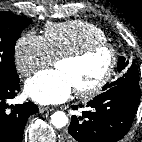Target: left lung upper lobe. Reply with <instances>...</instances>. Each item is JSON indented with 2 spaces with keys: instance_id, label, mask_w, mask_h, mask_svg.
<instances>
[{
  "instance_id": "1",
  "label": "left lung upper lobe",
  "mask_w": 142,
  "mask_h": 142,
  "mask_svg": "<svg viewBox=\"0 0 142 142\" xmlns=\"http://www.w3.org/2000/svg\"><path fill=\"white\" fill-rule=\"evenodd\" d=\"M118 72L122 73L120 78L110 84H106L103 87V91L127 82H139V72L137 66L134 62L132 64L129 63L125 57H119L118 59Z\"/></svg>"
}]
</instances>
